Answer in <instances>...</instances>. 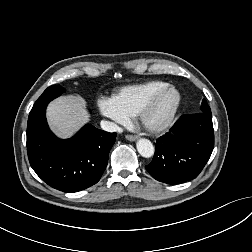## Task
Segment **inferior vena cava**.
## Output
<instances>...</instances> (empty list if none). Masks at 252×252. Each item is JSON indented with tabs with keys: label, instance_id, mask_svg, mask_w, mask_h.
I'll return each mask as SVG.
<instances>
[{
	"label": "inferior vena cava",
	"instance_id": "602c4592",
	"mask_svg": "<svg viewBox=\"0 0 252 252\" xmlns=\"http://www.w3.org/2000/svg\"><path fill=\"white\" fill-rule=\"evenodd\" d=\"M100 124H101V128L104 131H107V132H118V133L122 132V128L119 127L117 124H115L113 122L102 120Z\"/></svg>",
	"mask_w": 252,
	"mask_h": 252
}]
</instances>
